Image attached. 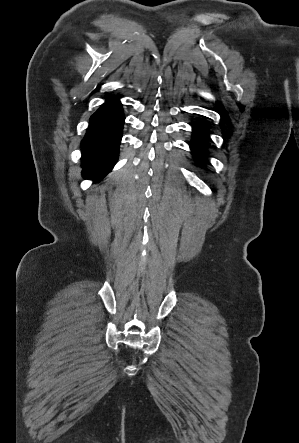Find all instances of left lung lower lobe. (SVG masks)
I'll return each instance as SVG.
<instances>
[{"mask_svg":"<svg viewBox=\"0 0 299 443\" xmlns=\"http://www.w3.org/2000/svg\"><path fill=\"white\" fill-rule=\"evenodd\" d=\"M193 142L191 150L194 153L195 158L201 161L205 155L204 145L208 139V130L204 123H200L193 128Z\"/></svg>","mask_w":299,"mask_h":443,"instance_id":"obj_1","label":"left lung lower lobe"}]
</instances>
